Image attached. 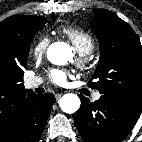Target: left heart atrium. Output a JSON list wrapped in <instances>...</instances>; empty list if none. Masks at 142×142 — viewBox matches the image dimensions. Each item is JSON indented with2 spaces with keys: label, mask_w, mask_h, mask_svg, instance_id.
I'll return each mask as SVG.
<instances>
[{
  "label": "left heart atrium",
  "mask_w": 142,
  "mask_h": 142,
  "mask_svg": "<svg viewBox=\"0 0 142 142\" xmlns=\"http://www.w3.org/2000/svg\"><path fill=\"white\" fill-rule=\"evenodd\" d=\"M69 72L61 69H54L50 73L52 82L58 86H65L67 84Z\"/></svg>",
  "instance_id": "obj_1"
}]
</instances>
